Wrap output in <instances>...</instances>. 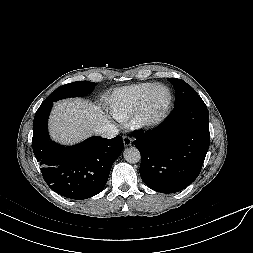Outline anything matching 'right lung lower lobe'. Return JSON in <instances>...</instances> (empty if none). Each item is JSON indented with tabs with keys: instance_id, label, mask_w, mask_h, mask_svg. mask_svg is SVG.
<instances>
[{
	"instance_id": "1",
	"label": "right lung lower lobe",
	"mask_w": 253,
	"mask_h": 253,
	"mask_svg": "<svg viewBox=\"0 0 253 253\" xmlns=\"http://www.w3.org/2000/svg\"><path fill=\"white\" fill-rule=\"evenodd\" d=\"M54 101H44L33 125L32 147L47 185L71 199H87L100 193L111 167L123 150L121 136L91 137L81 144L64 147L50 140L47 121Z\"/></svg>"
}]
</instances>
